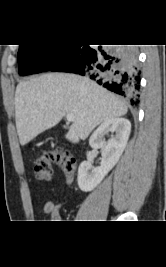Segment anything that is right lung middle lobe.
<instances>
[{
  "label": "right lung middle lobe",
  "mask_w": 166,
  "mask_h": 267,
  "mask_svg": "<svg viewBox=\"0 0 166 267\" xmlns=\"http://www.w3.org/2000/svg\"><path fill=\"white\" fill-rule=\"evenodd\" d=\"M70 45H19V74L29 75L48 71L61 60Z\"/></svg>",
  "instance_id": "dd1d6c3e"
}]
</instances>
